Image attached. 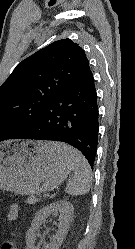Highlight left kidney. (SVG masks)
<instances>
[{"mask_svg": "<svg viewBox=\"0 0 135 249\" xmlns=\"http://www.w3.org/2000/svg\"><path fill=\"white\" fill-rule=\"evenodd\" d=\"M74 212L73 205L66 200H60L51 203L39 210L32 221L31 228L26 234V249H39L35 246L36 232L40 226L46 222V219L51 215L59 214V224L56 234L53 236L49 244L44 245L43 249H59L64 237L68 232L70 221Z\"/></svg>", "mask_w": 135, "mask_h": 249, "instance_id": "obj_1", "label": "left kidney"}]
</instances>
